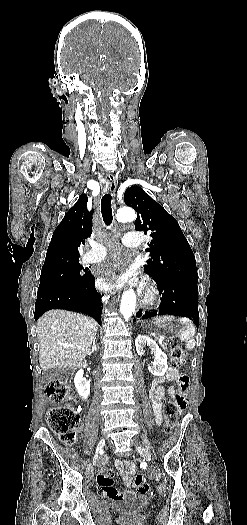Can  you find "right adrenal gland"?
I'll list each match as a JSON object with an SVG mask.
<instances>
[{
  "mask_svg": "<svg viewBox=\"0 0 247 525\" xmlns=\"http://www.w3.org/2000/svg\"><path fill=\"white\" fill-rule=\"evenodd\" d=\"M96 339H97V337H94V339H93V347H92L90 353H88V355H91V353H94V351H97Z\"/></svg>",
  "mask_w": 247,
  "mask_h": 525,
  "instance_id": "1",
  "label": "right adrenal gland"
}]
</instances>
